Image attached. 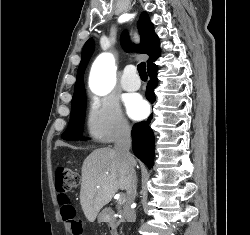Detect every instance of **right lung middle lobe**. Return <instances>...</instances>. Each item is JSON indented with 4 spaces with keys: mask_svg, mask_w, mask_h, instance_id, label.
I'll use <instances>...</instances> for the list:
<instances>
[{
    "mask_svg": "<svg viewBox=\"0 0 250 235\" xmlns=\"http://www.w3.org/2000/svg\"><path fill=\"white\" fill-rule=\"evenodd\" d=\"M86 96L85 93L72 99L71 118L67 129L62 134L65 140L76 141L85 140L82 137L83 120L85 117Z\"/></svg>",
    "mask_w": 250,
    "mask_h": 235,
    "instance_id": "right-lung-middle-lobe-1",
    "label": "right lung middle lobe"
}]
</instances>
